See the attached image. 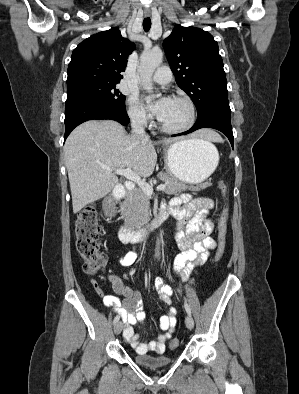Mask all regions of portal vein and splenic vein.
I'll list each match as a JSON object with an SVG mask.
<instances>
[{
	"mask_svg": "<svg viewBox=\"0 0 299 394\" xmlns=\"http://www.w3.org/2000/svg\"><path fill=\"white\" fill-rule=\"evenodd\" d=\"M104 168L109 171H114V173H116L118 175H122V176L126 177L128 180L137 183L138 186L140 187V189L145 193V195L151 196L153 194V187L151 185H149L148 183H146L145 181H143L138 174H136L135 172H133L131 170V168H126V169H111L108 167H104ZM165 187H166L165 184H161V185L157 186L156 189L158 191H161V190H164Z\"/></svg>",
	"mask_w": 299,
	"mask_h": 394,
	"instance_id": "18ae733b",
	"label": "portal vein and splenic vein"
}]
</instances>
